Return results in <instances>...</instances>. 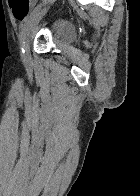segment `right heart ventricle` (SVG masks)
Masks as SVG:
<instances>
[{
    "label": "right heart ventricle",
    "instance_id": "right-heart-ventricle-1",
    "mask_svg": "<svg viewBox=\"0 0 140 196\" xmlns=\"http://www.w3.org/2000/svg\"><path fill=\"white\" fill-rule=\"evenodd\" d=\"M10 192H12V191H10ZM20 192H37V191H20Z\"/></svg>",
    "mask_w": 140,
    "mask_h": 196
}]
</instances>
